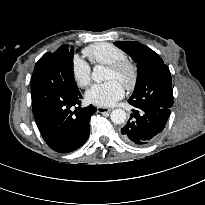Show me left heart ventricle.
<instances>
[{
  "label": "left heart ventricle",
  "mask_w": 205,
  "mask_h": 205,
  "mask_svg": "<svg viewBox=\"0 0 205 205\" xmlns=\"http://www.w3.org/2000/svg\"><path fill=\"white\" fill-rule=\"evenodd\" d=\"M125 79H126V75L116 74L113 71H111L110 69H107V71H106L105 80H107V81L117 80L124 85Z\"/></svg>",
  "instance_id": "obj_1"
}]
</instances>
